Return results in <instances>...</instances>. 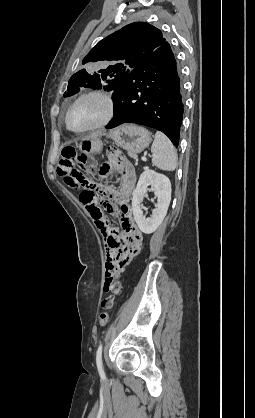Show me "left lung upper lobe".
<instances>
[{
    "instance_id": "1",
    "label": "left lung upper lobe",
    "mask_w": 255,
    "mask_h": 418,
    "mask_svg": "<svg viewBox=\"0 0 255 418\" xmlns=\"http://www.w3.org/2000/svg\"><path fill=\"white\" fill-rule=\"evenodd\" d=\"M167 42L162 32L145 22L129 24L97 43L83 59L95 69H82L69 80V97L79 91L78 87L101 88L116 91L128 74L144 63ZM101 68L100 70H98Z\"/></svg>"
}]
</instances>
